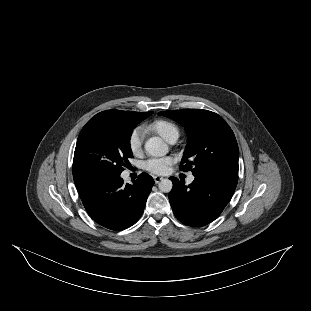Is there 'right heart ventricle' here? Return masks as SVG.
Wrapping results in <instances>:
<instances>
[{
    "label": "right heart ventricle",
    "instance_id": "obj_1",
    "mask_svg": "<svg viewBox=\"0 0 311 311\" xmlns=\"http://www.w3.org/2000/svg\"><path fill=\"white\" fill-rule=\"evenodd\" d=\"M151 129L159 134L164 140L170 142L177 140L180 136V127L174 121L159 119L151 124Z\"/></svg>",
    "mask_w": 311,
    "mask_h": 311
}]
</instances>
